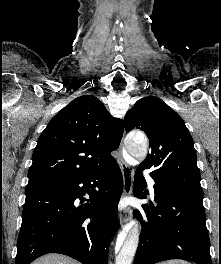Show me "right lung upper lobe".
I'll use <instances>...</instances> for the list:
<instances>
[{"mask_svg": "<svg viewBox=\"0 0 221 264\" xmlns=\"http://www.w3.org/2000/svg\"><path fill=\"white\" fill-rule=\"evenodd\" d=\"M123 122L114 118L95 96L74 99L49 122L32 155L26 188L91 173L113 159Z\"/></svg>", "mask_w": 221, "mask_h": 264, "instance_id": "1", "label": "right lung upper lobe"}]
</instances>
